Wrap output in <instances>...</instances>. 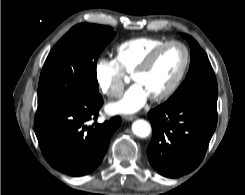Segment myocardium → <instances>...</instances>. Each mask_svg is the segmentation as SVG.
I'll return each instance as SVG.
<instances>
[{
  "label": "myocardium",
  "mask_w": 245,
  "mask_h": 195,
  "mask_svg": "<svg viewBox=\"0 0 245 195\" xmlns=\"http://www.w3.org/2000/svg\"><path fill=\"white\" fill-rule=\"evenodd\" d=\"M174 45L181 47L183 52H184L183 64L181 66L179 73L177 74L175 79L172 81V83L161 93L150 97L151 100H153V101L158 102V101H163V100L169 98L176 91V89L179 87L181 81L183 80V78L186 74V71H187V68L189 65L190 55H189V51H188L187 47L180 41H175V40L166 41L165 43L154 48L132 72V79H134L137 75L146 72L152 66V64L156 60L157 56L164 49H166L170 46H174Z\"/></svg>",
  "instance_id": "obj_1"
}]
</instances>
